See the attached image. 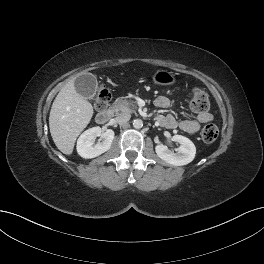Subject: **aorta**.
<instances>
[{
  "label": "aorta",
  "mask_w": 264,
  "mask_h": 264,
  "mask_svg": "<svg viewBox=\"0 0 264 264\" xmlns=\"http://www.w3.org/2000/svg\"><path fill=\"white\" fill-rule=\"evenodd\" d=\"M143 126V121L141 119H135L133 121V127L136 129H140Z\"/></svg>",
  "instance_id": "aorta-1"
}]
</instances>
